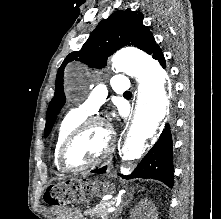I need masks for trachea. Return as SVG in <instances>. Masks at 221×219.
Here are the masks:
<instances>
[{
    "instance_id": "obj_1",
    "label": "trachea",
    "mask_w": 221,
    "mask_h": 219,
    "mask_svg": "<svg viewBox=\"0 0 221 219\" xmlns=\"http://www.w3.org/2000/svg\"><path fill=\"white\" fill-rule=\"evenodd\" d=\"M126 95H132V93L131 92H127V94Z\"/></svg>"
}]
</instances>
